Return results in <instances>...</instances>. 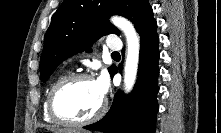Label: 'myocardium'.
<instances>
[{
  "instance_id": "obj_1",
  "label": "myocardium",
  "mask_w": 221,
  "mask_h": 133,
  "mask_svg": "<svg viewBox=\"0 0 221 133\" xmlns=\"http://www.w3.org/2000/svg\"><path fill=\"white\" fill-rule=\"evenodd\" d=\"M82 80L94 81V78L87 73L71 74V75H68V76L62 78L51 89V91L48 95V98H47V109H48V113H49L50 117L56 123H59L61 125H65V126H72V127L84 126V125H87V124L97 121L106 112L107 101L104 98H103L100 106L98 107V109L91 116H89L85 119H81V120L66 119V118L62 117L57 112L56 107H55V99H56L57 95L59 94V92L62 89H64L65 87H67L68 85H70L74 82L82 81Z\"/></svg>"
}]
</instances>
